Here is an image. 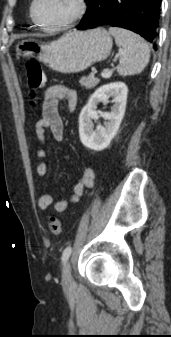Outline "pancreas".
<instances>
[{
  "instance_id": "cf45deb5",
  "label": "pancreas",
  "mask_w": 171,
  "mask_h": 337,
  "mask_svg": "<svg viewBox=\"0 0 171 337\" xmlns=\"http://www.w3.org/2000/svg\"><path fill=\"white\" fill-rule=\"evenodd\" d=\"M99 79L94 76V73H91L88 77H82L79 80V83L82 87L87 89H92L99 83Z\"/></svg>"
}]
</instances>
